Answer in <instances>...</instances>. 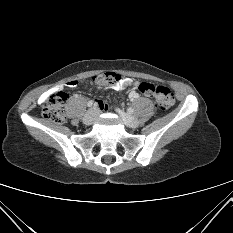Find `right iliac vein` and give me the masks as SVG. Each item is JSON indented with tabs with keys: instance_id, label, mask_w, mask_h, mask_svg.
Returning a JSON list of instances; mask_svg holds the SVG:
<instances>
[{
	"instance_id": "obj_1",
	"label": "right iliac vein",
	"mask_w": 233,
	"mask_h": 233,
	"mask_svg": "<svg viewBox=\"0 0 233 233\" xmlns=\"http://www.w3.org/2000/svg\"><path fill=\"white\" fill-rule=\"evenodd\" d=\"M97 115H98L97 108L89 109L83 118L84 124L91 125L94 122V120L96 119Z\"/></svg>"
}]
</instances>
